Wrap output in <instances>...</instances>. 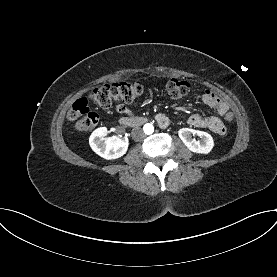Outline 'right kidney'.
I'll return each instance as SVG.
<instances>
[{
	"label": "right kidney",
	"instance_id": "obj_1",
	"mask_svg": "<svg viewBox=\"0 0 277 277\" xmlns=\"http://www.w3.org/2000/svg\"><path fill=\"white\" fill-rule=\"evenodd\" d=\"M107 128L99 127L91 134L89 144L91 149L104 159L112 160L123 156L128 149L127 137L112 136L106 138Z\"/></svg>",
	"mask_w": 277,
	"mask_h": 277
}]
</instances>
